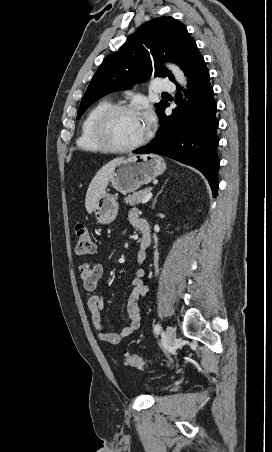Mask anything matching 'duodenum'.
Listing matches in <instances>:
<instances>
[{
	"instance_id": "obj_1",
	"label": "duodenum",
	"mask_w": 272,
	"mask_h": 452,
	"mask_svg": "<svg viewBox=\"0 0 272 452\" xmlns=\"http://www.w3.org/2000/svg\"><path fill=\"white\" fill-rule=\"evenodd\" d=\"M136 226L141 233L139 254L142 256L151 244L150 225L146 218H139L136 222Z\"/></svg>"
}]
</instances>
